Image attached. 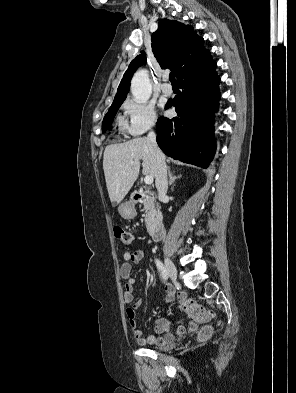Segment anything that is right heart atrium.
<instances>
[{"instance_id":"1","label":"right heart atrium","mask_w":296,"mask_h":393,"mask_svg":"<svg viewBox=\"0 0 296 393\" xmlns=\"http://www.w3.org/2000/svg\"><path fill=\"white\" fill-rule=\"evenodd\" d=\"M123 109L126 115V130L131 136L142 135L156 126V110L149 102L128 98Z\"/></svg>"}]
</instances>
